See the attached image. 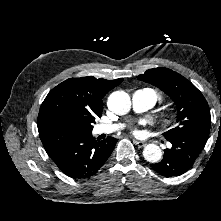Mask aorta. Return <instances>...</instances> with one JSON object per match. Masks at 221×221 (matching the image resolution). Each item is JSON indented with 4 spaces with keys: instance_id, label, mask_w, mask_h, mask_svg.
Returning a JSON list of instances; mask_svg holds the SVG:
<instances>
[{
    "instance_id": "obj_1",
    "label": "aorta",
    "mask_w": 221,
    "mask_h": 221,
    "mask_svg": "<svg viewBox=\"0 0 221 221\" xmlns=\"http://www.w3.org/2000/svg\"><path fill=\"white\" fill-rule=\"evenodd\" d=\"M107 106L113 113L124 115L130 111V97L124 91H115L108 97ZM143 156L146 161L157 163L162 158V151L158 145L148 144L143 150Z\"/></svg>"
}]
</instances>
